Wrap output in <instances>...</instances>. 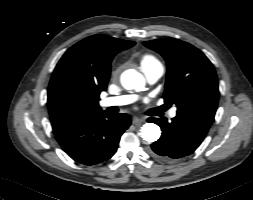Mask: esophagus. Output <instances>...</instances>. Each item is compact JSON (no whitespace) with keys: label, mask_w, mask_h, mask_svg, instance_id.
Wrapping results in <instances>:
<instances>
[{"label":"esophagus","mask_w":253,"mask_h":200,"mask_svg":"<svg viewBox=\"0 0 253 200\" xmlns=\"http://www.w3.org/2000/svg\"><path fill=\"white\" fill-rule=\"evenodd\" d=\"M143 121H144V120L141 119V118L134 117L133 120H132V123H133L134 125H137V124L143 123Z\"/></svg>","instance_id":"34e87169"}]
</instances>
